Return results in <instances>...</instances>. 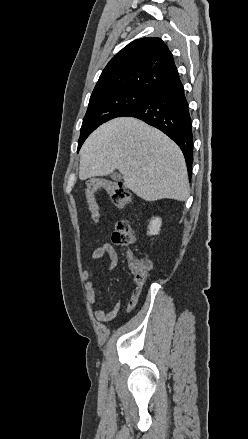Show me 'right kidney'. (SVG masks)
<instances>
[{
	"label": "right kidney",
	"mask_w": 248,
	"mask_h": 439,
	"mask_svg": "<svg viewBox=\"0 0 248 439\" xmlns=\"http://www.w3.org/2000/svg\"><path fill=\"white\" fill-rule=\"evenodd\" d=\"M162 220L159 217H153L148 226V235H158L161 228Z\"/></svg>",
	"instance_id": "right-kidney-1"
}]
</instances>
